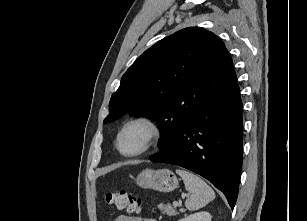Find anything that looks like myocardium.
<instances>
[{"label": "myocardium", "instance_id": "f54148a6", "mask_svg": "<svg viewBox=\"0 0 307 221\" xmlns=\"http://www.w3.org/2000/svg\"><path fill=\"white\" fill-rule=\"evenodd\" d=\"M136 125H140L145 128L146 130L145 142L139 150L135 152H131V153H126L121 149V146H120L121 138L124 132L129 127L136 126ZM161 135H162V130L157 120H155L152 117L146 116V115L137 116V117L131 118L130 120L126 121L121 127V129L119 130L117 137H116V148L118 152L124 157H128V158L136 157L150 150L158 142Z\"/></svg>", "mask_w": 307, "mask_h": 221}]
</instances>
